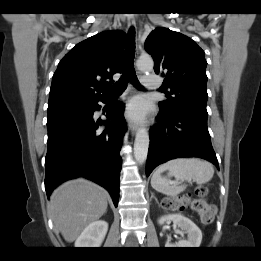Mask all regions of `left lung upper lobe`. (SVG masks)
<instances>
[{
	"label": "left lung upper lobe",
	"mask_w": 261,
	"mask_h": 261,
	"mask_svg": "<svg viewBox=\"0 0 261 261\" xmlns=\"http://www.w3.org/2000/svg\"><path fill=\"white\" fill-rule=\"evenodd\" d=\"M145 50L154 60L156 74L165 76L167 99L159 102L164 112L187 106L207 114V62L204 51L191 38L159 27L145 41Z\"/></svg>",
	"instance_id": "left-lung-upper-lobe-1"
}]
</instances>
